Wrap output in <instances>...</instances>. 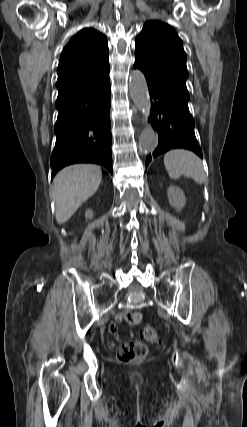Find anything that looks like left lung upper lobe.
I'll list each match as a JSON object with an SVG mask.
<instances>
[{
    "mask_svg": "<svg viewBox=\"0 0 247 427\" xmlns=\"http://www.w3.org/2000/svg\"><path fill=\"white\" fill-rule=\"evenodd\" d=\"M145 77L189 100L186 87V53L174 29L160 21H148L135 40V63Z\"/></svg>",
    "mask_w": 247,
    "mask_h": 427,
    "instance_id": "1",
    "label": "left lung upper lobe"
}]
</instances>
